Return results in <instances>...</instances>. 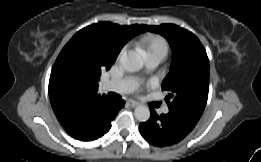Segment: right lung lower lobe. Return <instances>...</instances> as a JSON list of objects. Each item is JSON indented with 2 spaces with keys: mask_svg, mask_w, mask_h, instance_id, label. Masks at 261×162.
<instances>
[{
  "mask_svg": "<svg viewBox=\"0 0 261 162\" xmlns=\"http://www.w3.org/2000/svg\"><path fill=\"white\" fill-rule=\"evenodd\" d=\"M123 105V100H106L101 102L87 114L78 118L74 125L67 128L66 131L78 140H96L110 130L111 121Z\"/></svg>",
  "mask_w": 261,
  "mask_h": 162,
  "instance_id": "98d812e1",
  "label": "right lung lower lobe"
}]
</instances>
